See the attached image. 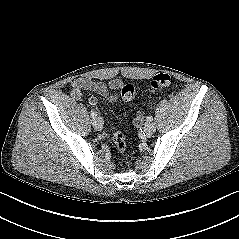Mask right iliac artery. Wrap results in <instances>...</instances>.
I'll return each instance as SVG.
<instances>
[{
	"mask_svg": "<svg viewBox=\"0 0 239 239\" xmlns=\"http://www.w3.org/2000/svg\"><path fill=\"white\" fill-rule=\"evenodd\" d=\"M90 115H91V117H92L93 119H95L96 116H97V114H96L94 111H91Z\"/></svg>",
	"mask_w": 239,
	"mask_h": 239,
	"instance_id": "82829eb1",
	"label": "right iliac artery"
}]
</instances>
